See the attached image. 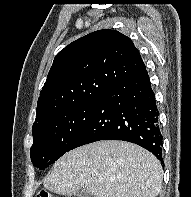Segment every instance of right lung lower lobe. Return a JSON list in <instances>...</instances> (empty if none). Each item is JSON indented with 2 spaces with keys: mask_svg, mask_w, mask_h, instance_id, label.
<instances>
[{
  "mask_svg": "<svg viewBox=\"0 0 191 197\" xmlns=\"http://www.w3.org/2000/svg\"><path fill=\"white\" fill-rule=\"evenodd\" d=\"M106 139L138 144L163 164L159 112L146 69L116 82L103 92L95 111L68 151Z\"/></svg>",
  "mask_w": 191,
  "mask_h": 197,
  "instance_id": "1",
  "label": "right lung lower lobe"
}]
</instances>
